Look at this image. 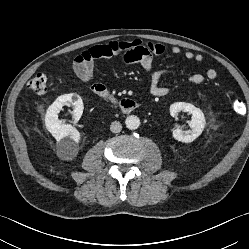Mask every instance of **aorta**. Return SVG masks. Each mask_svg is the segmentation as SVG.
Listing matches in <instances>:
<instances>
[{
	"label": "aorta",
	"instance_id": "1",
	"mask_svg": "<svg viewBox=\"0 0 249 249\" xmlns=\"http://www.w3.org/2000/svg\"><path fill=\"white\" fill-rule=\"evenodd\" d=\"M125 124L128 129L135 130L140 126V119L135 115H131L126 118Z\"/></svg>",
	"mask_w": 249,
	"mask_h": 249
}]
</instances>
